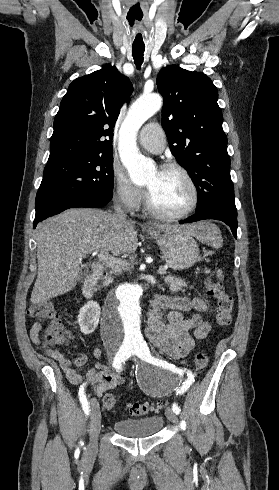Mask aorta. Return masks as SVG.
I'll use <instances>...</instances> for the list:
<instances>
[{"mask_svg": "<svg viewBox=\"0 0 279 490\" xmlns=\"http://www.w3.org/2000/svg\"><path fill=\"white\" fill-rule=\"evenodd\" d=\"M161 106L162 98L158 94L139 98L129 109L119 131L120 158L131 180L136 184L144 183L155 169L152 160L141 155L137 148V132ZM142 294V286L126 283L108 296L103 311L101 333L111 351L128 352L144 342L140 305Z\"/></svg>", "mask_w": 279, "mask_h": 490, "instance_id": "762f6f07", "label": "aorta"}]
</instances>
